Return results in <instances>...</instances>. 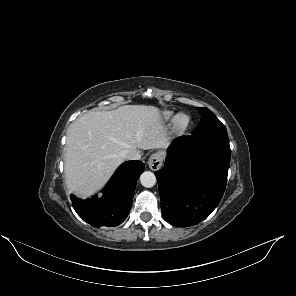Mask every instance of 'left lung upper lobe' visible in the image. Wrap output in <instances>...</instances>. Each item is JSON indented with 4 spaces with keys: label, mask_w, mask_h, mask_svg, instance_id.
<instances>
[{
    "label": "left lung upper lobe",
    "mask_w": 296,
    "mask_h": 296,
    "mask_svg": "<svg viewBox=\"0 0 296 296\" xmlns=\"http://www.w3.org/2000/svg\"><path fill=\"white\" fill-rule=\"evenodd\" d=\"M201 115V121L192 132V136L210 133H227L225 126L216 118L215 114L207 108L197 107Z\"/></svg>",
    "instance_id": "5c2ea615"
}]
</instances>
